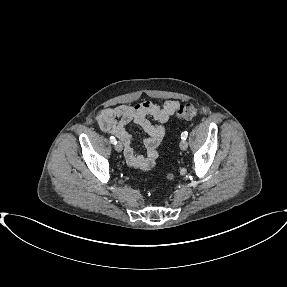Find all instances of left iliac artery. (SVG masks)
Here are the masks:
<instances>
[{
	"instance_id": "left-iliac-artery-1",
	"label": "left iliac artery",
	"mask_w": 287,
	"mask_h": 287,
	"mask_svg": "<svg viewBox=\"0 0 287 287\" xmlns=\"http://www.w3.org/2000/svg\"><path fill=\"white\" fill-rule=\"evenodd\" d=\"M187 136H188V133H187V132H183V133L181 134V139H182V140H186Z\"/></svg>"
}]
</instances>
